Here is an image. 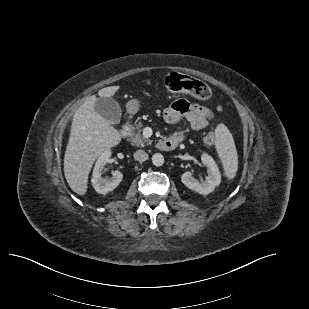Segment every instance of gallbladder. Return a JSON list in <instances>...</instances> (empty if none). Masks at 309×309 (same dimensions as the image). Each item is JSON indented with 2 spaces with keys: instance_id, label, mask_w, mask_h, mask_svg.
Here are the masks:
<instances>
[{
  "instance_id": "bac80fb5",
  "label": "gallbladder",
  "mask_w": 309,
  "mask_h": 309,
  "mask_svg": "<svg viewBox=\"0 0 309 309\" xmlns=\"http://www.w3.org/2000/svg\"><path fill=\"white\" fill-rule=\"evenodd\" d=\"M95 110L111 124H118L121 119V107L113 98L98 97Z\"/></svg>"
}]
</instances>
